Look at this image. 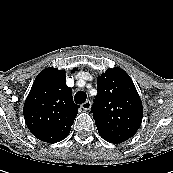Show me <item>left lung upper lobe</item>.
<instances>
[{"instance_id":"1","label":"left lung upper lobe","mask_w":173,"mask_h":173,"mask_svg":"<svg viewBox=\"0 0 173 173\" xmlns=\"http://www.w3.org/2000/svg\"><path fill=\"white\" fill-rule=\"evenodd\" d=\"M97 88L91 111L99 135L114 143L134 136L142 122L143 107L130 76L121 68H110L98 77Z\"/></svg>"}]
</instances>
